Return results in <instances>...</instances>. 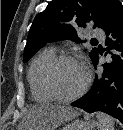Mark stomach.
I'll list each match as a JSON object with an SVG mask.
<instances>
[{
	"mask_svg": "<svg viewBox=\"0 0 123 130\" xmlns=\"http://www.w3.org/2000/svg\"><path fill=\"white\" fill-rule=\"evenodd\" d=\"M96 125V122L93 120L83 121V120H74L64 126L61 130H92Z\"/></svg>",
	"mask_w": 123,
	"mask_h": 130,
	"instance_id": "stomach-1",
	"label": "stomach"
}]
</instances>
